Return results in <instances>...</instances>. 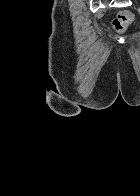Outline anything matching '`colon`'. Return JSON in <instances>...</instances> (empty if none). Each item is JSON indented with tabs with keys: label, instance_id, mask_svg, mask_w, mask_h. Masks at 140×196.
I'll list each match as a JSON object with an SVG mask.
<instances>
[{
	"label": "colon",
	"instance_id": "colon-1",
	"mask_svg": "<svg viewBox=\"0 0 140 196\" xmlns=\"http://www.w3.org/2000/svg\"><path fill=\"white\" fill-rule=\"evenodd\" d=\"M134 15L128 10H123L112 20V27L115 31L124 32L127 27L133 22Z\"/></svg>",
	"mask_w": 140,
	"mask_h": 196
}]
</instances>
